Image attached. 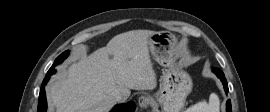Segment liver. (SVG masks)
Instances as JSON below:
<instances>
[{
    "label": "liver",
    "mask_w": 270,
    "mask_h": 112,
    "mask_svg": "<svg viewBox=\"0 0 270 112\" xmlns=\"http://www.w3.org/2000/svg\"><path fill=\"white\" fill-rule=\"evenodd\" d=\"M155 31L132 30L114 36L105 47L57 74L47 88L56 112H109L118 93L130 89L153 90L157 78L149 54V38Z\"/></svg>",
    "instance_id": "liver-1"
}]
</instances>
